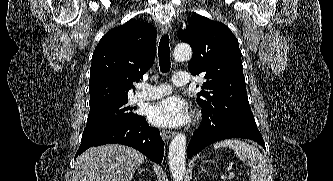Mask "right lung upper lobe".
<instances>
[{"label":"right lung upper lobe","mask_w":333,"mask_h":181,"mask_svg":"<svg viewBox=\"0 0 333 181\" xmlns=\"http://www.w3.org/2000/svg\"><path fill=\"white\" fill-rule=\"evenodd\" d=\"M157 32L143 21L130 20L108 31L96 46L90 69V109L128 99L155 59Z\"/></svg>","instance_id":"cb5924a9"}]
</instances>
